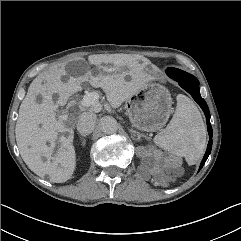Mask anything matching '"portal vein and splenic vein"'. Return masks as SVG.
<instances>
[{"label":"portal vein and splenic vein","mask_w":241,"mask_h":241,"mask_svg":"<svg viewBox=\"0 0 241 241\" xmlns=\"http://www.w3.org/2000/svg\"><path fill=\"white\" fill-rule=\"evenodd\" d=\"M99 96L95 92L87 93L83 99L80 101V104L84 107H97L99 102Z\"/></svg>","instance_id":"1"}]
</instances>
